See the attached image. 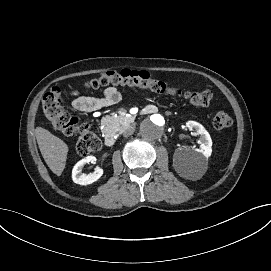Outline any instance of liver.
<instances>
[{"mask_svg":"<svg viewBox=\"0 0 271 271\" xmlns=\"http://www.w3.org/2000/svg\"><path fill=\"white\" fill-rule=\"evenodd\" d=\"M35 137L40 152L50 168L57 176L61 175L67 155V146L47 130L37 128Z\"/></svg>","mask_w":271,"mask_h":271,"instance_id":"6515ba94","label":"liver"}]
</instances>
